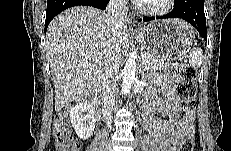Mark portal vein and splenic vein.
Returning a JSON list of instances; mask_svg holds the SVG:
<instances>
[{"label":"portal vein and splenic vein","instance_id":"portal-vein-and-splenic-vein-1","mask_svg":"<svg viewBox=\"0 0 231 151\" xmlns=\"http://www.w3.org/2000/svg\"><path fill=\"white\" fill-rule=\"evenodd\" d=\"M147 57V54L141 53V58Z\"/></svg>","mask_w":231,"mask_h":151}]
</instances>
